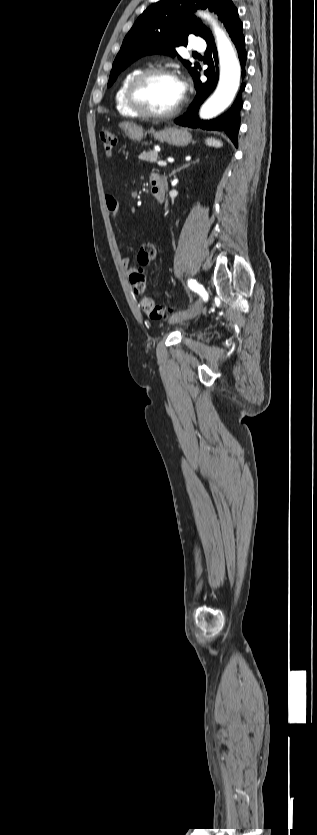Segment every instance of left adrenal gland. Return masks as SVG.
Returning a JSON list of instances; mask_svg holds the SVG:
<instances>
[{
    "label": "left adrenal gland",
    "mask_w": 317,
    "mask_h": 835,
    "mask_svg": "<svg viewBox=\"0 0 317 835\" xmlns=\"http://www.w3.org/2000/svg\"><path fill=\"white\" fill-rule=\"evenodd\" d=\"M198 162H199V159H197L195 162H193V164L198 163ZM190 165H191V163H187V164H185V165L181 166L180 168H177L176 170H173V171L171 172V174H169V177L173 176L176 172H179V171H181V170H182V169H184V168H188ZM164 180H165V181L167 180V177H166V176H165Z\"/></svg>",
    "instance_id": "left-adrenal-gland-1"
}]
</instances>
